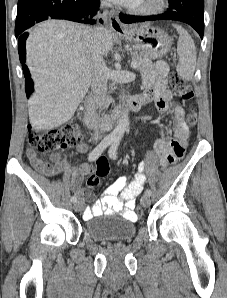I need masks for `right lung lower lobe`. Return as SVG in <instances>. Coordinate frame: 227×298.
I'll return each mask as SVG.
<instances>
[{"label": "right lung lower lobe", "instance_id": "right-lung-lower-lobe-1", "mask_svg": "<svg viewBox=\"0 0 227 298\" xmlns=\"http://www.w3.org/2000/svg\"><path fill=\"white\" fill-rule=\"evenodd\" d=\"M100 0H19L15 23V36L18 39L20 61L25 62L26 29L48 18L66 19L79 23L94 24L92 17L99 8ZM100 22L103 21L100 19ZM24 76L29 72L23 66Z\"/></svg>", "mask_w": 227, "mask_h": 298}]
</instances>
